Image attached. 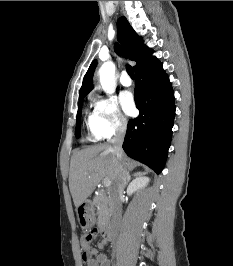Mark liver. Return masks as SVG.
I'll list each match as a JSON object with an SVG mask.
<instances>
[{
	"label": "liver",
	"instance_id": "obj_1",
	"mask_svg": "<svg viewBox=\"0 0 233 266\" xmlns=\"http://www.w3.org/2000/svg\"><path fill=\"white\" fill-rule=\"evenodd\" d=\"M124 160L130 163L125 156ZM117 171L118 162L111 144L94 145L75 152L69 171V189L74 205L79 207L84 203L102 179H110L113 184Z\"/></svg>",
	"mask_w": 233,
	"mask_h": 266
}]
</instances>
